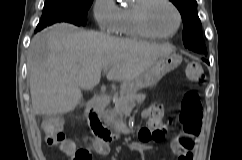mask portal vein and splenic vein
<instances>
[{"label":"portal vein and splenic vein","instance_id":"obj_1","mask_svg":"<svg viewBox=\"0 0 242 160\" xmlns=\"http://www.w3.org/2000/svg\"><path fill=\"white\" fill-rule=\"evenodd\" d=\"M110 67H111L110 65H106V66L103 67V69H104V71L106 72V71L109 70Z\"/></svg>","mask_w":242,"mask_h":160}]
</instances>
